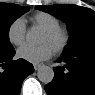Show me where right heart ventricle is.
Wrapping results in <instances>:
<instances>
[{
  "label": "right heart ventricle",
  "mask_w": 95,
  "mask_h": 95,
  "mask_svg": "<svg viewBox=\"0 0 95 95\" xmlns=\"http://www.w3.org/2000/svg\"><path fill=\"white\" fill-rule=\"evenodd\" d=\"M33 22L44 31L60 27L59 20L46 12H38L32 17Z\"/></svg>",
  "instance_id": "right-heart-ventricle-1"
}]
</instances>
